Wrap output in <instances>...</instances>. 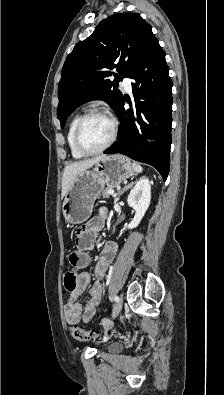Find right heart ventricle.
Here are the masks:
<instances>
[{
	"label": "right heart ventricle",
	"mask_w": 224,
	"mask_h": 395,
	"mask_svg": "<svg viewBox=\"0 0 224 395\" xmlns=\"http://www.w3.org/2000/svg\"><path fill=\"white\" fill-rule=\"evenodd\" d=\"M80 118L79 115L74 116L68 126V132H67V144L70 150V153L72 155L73 158L75 159H80L82 157H84V155H82L75 147L74 144V133H75V127L77 124L78 119Z\"/></svg>",
	"instance_id": "right-heart-ventricle-1"
}]
</instances>
